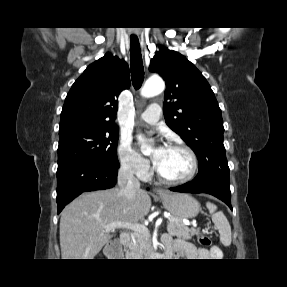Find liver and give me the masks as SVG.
Segmentation results:
<instances>
[{
  "label": "liver",
  "mask_w": 287,
  "mask_h": 287,
  "mask_svg": "<svg viewBox=\"0 0 287 287\" xmlns=\"http://www.w3.org/2000/svg\"><path fill=\"white\" fill-rule=\"evenodd\" d=\"M151 198L144 190L134 200L120 188L84 193L71 202L60 219L62 259H94L111 239L105 225L114 221L138 223L149 213Z\"/></svg>",
  "instance_id": "obj_1"
}]
</instances>
